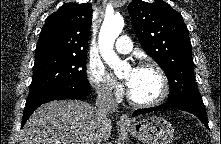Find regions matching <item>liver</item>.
I'll use <instances>...</instances> for the list:
<instances>
[{
	"instance_id": "liver-1",
	"label": "liver",
	"mask_w": 221,
	"mask_h": 144,
	"mask_svg": "<svg viewBox=\"0 0 221 144\" xmlns=\"http://www.w3.org/2000/svg\"><path fill=\"white\" fill-rule=\"evenodd\" d=\"M112 122L98 121L85 102L52 101L40 106L25 123L20 144H101L109 139Z\"/></svg>"
}]
</instances>
